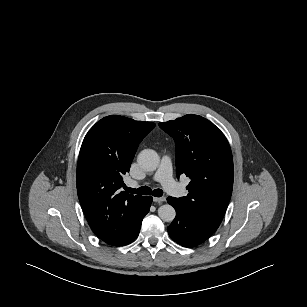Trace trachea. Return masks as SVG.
Segmentation results:
<instances>
[{"label": "trachea", "mask_w": 307, "mask_h": 307, "mask_svg": "<svg viewBox=\"0 0 307 307\" xmlns=\"http://www.w3.org/2000/svg\"><path fill=\"white\" fill-rule=\"evenodd\" d=\"M125 189L128 193H134V194L153 195L155 197H161L163 195V190H161V189L152 190L148 186H142L138 189L126 187Z\"/></svg>", "instance_id": "obj_1"}]
</instances>
